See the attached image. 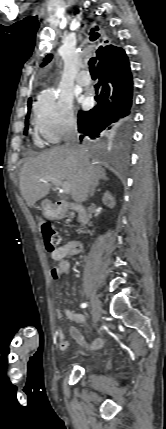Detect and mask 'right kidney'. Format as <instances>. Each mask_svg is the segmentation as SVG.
Here are the masks:
<instances>
[{"instance_id": "ca27d5eb", "label": "right kidney", "mask_w": 166, "mask_h": 429, "mask_svg": "<svg viewBox=\"0 0 166 429\" xmlns=\"http://www.w3.org/2000/svg\"><path fill=\"white\" fill-rule=\"evenodd\" d=\"M102 202L110 208H113L115 206V200L108 191L104 193L102 197Z\"/></svg>"}]
</instances>
